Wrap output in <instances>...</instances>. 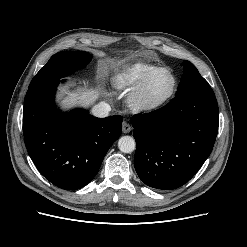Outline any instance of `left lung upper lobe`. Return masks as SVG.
Wrapping results in <instances>:
<instances>
[{"label": "left lung upper lobe", "mask_w": 247, "mask_h": 247, "mask_svg": "<svg viewBox=\"0 0 247 247\" xmlns=\"http://www.w3.org/2000/svg\"><path fill=\"white\" fill-rule=\"evenodd\" d=\"M184 73L177 88V94L185 91L200 89L206 91H213L208 82L200 75L197 68L189 61L181 63Z\"/></svg>", "instance_id": "left-lung-upper-lobe-1"}]
</instances>
